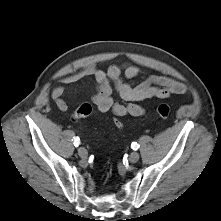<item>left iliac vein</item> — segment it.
Returning <instances> with one entry per match:
<instances>
[{
  "label": "left iliac vein",
  "instance_id": "1",
  "mask_svg": "<svg viewBox=\"0 0 221 221\" xmlns=\"http://www.w3.org/2000/svg\"><path fill=\"white\" fill-rule=\"evenodd\" d=\"M140 158V155L138 152H132L129 156V161L131 163H136Z\"/></svg>",
  "mask_w": 221,
  "mask_h": 221
}]
</instances>
